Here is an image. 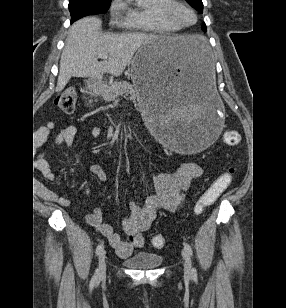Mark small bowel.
Here are the masks:
<instances>
[{"label": "small bowel", "instance_id": "1", "mask_svg": "<svg viewBox=\"0 0 286 308\" xmlns=\"http://www.w3.org/2000/svg\"><path fill=\"white\" fill-rule=\"evenodd\" d=\"M55 128L53 122H48L41 126L34 134L35 145L42 146L52 135ZM93 137L101 135V129L94 127L91 129ZM77 134V127L69 125L61 129L53 136L55 145L70 146ZM37 169L47 180L56 178L50 164L42 157H38L36 162ZM93 176L99 182L107 180V174L100 164H93L90 167ZM203 174L202 168L195 163H182L171 171H163L156 174L153 178L156 194L145 199L142 205L136 202L130 203V215L124 219L123 227L125 236L115 232L112 227L102 220V212L96 208L85 217L87 223L94 227L101 235L109 241L118 256L127 257L144 245L143 232L147 231L156 219L159 210L175 211L183 201V192L188 190L190 185L199 179ZM43 198L51 200L59 205L68 206V199L59 197L48 188L42 191Z\"/></svg>", "mask_w": 286, "mask_h": 308}]
</instances>
